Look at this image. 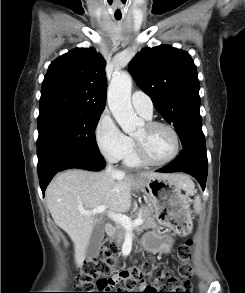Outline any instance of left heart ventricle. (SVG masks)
<instances>
[{"label": "left heart ventricle", "instance_id": "obj_1", "mask_svg": "<svg viewBox=\"0 0 245 293\" xmlns=\"http://www.w3.org/2000/svg\"><path fill=\"white\" fill-rule=\"evenodd\" d=\"M146 156L153 161L168 158L174 149V140L170 131L162 127H140L134 134Z\"/></svg>", "mask_w": 245, "mask_h": 293}]
</instances>
